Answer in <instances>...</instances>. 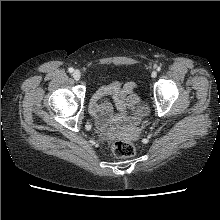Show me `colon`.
Returning a JSON list of instances; mask_svg holds the SVG:
<instances>
[{
	"instance_id": "5ec220e1",
	"label": "colon",
	"mask_w": 220,
	"mask_h": 220,
	"mask_svg": "<svg viewBox=\"0 0 220 220\" xmlns=\"http://www.w3.org/2000/svg\"><path fill=\"white\" fill-rule=\"evenodd\" d=\"M113 154L118 158L132 157L135 152V146L127 141H115L112 146Z\"/></svg>"
}]
</instances>
